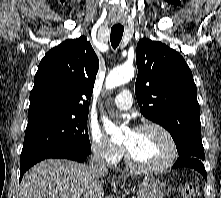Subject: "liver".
Here are the masks:
<instances>
[{
  "mask_svg": "<svg viewBox=\"0 0 221 198\" xmlns=\"http://www.w3.org/2000/svg\"><path fill=\"white\" fill-rule=\"evenodd\" d=\"M89 166L68 160L48 159L26 172L20 184V198H104L100 178Z\"/></svg>",
  "mask_w": 221,
  "mask_h": 198,
  "instance_id": "6515ba94",
  "label": "liver"
}]
</instances>
